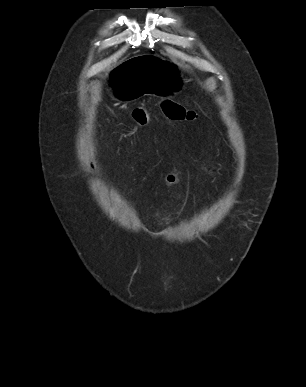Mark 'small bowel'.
Masks as SVG:
<instances>
[{"label":"small bowel","mask_w":306,"mask_h":387,"mask_svg":"<svg viewBox=\"0 0 306 387\" xmlns=\"http://www.w3.org/2000/svg\"><path fill=\"white\" fill-rule=\"evenodd\" d=\"M206 170L209 171V168H206ZM180 181L181 175L176 171L170 172L165 176V183L169 187H174L178 185Z\"/></svg>","instance_id":"1"}]
</instances>
